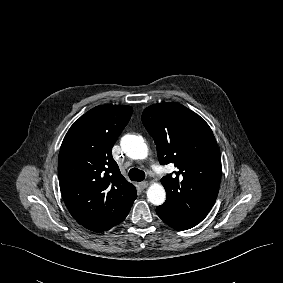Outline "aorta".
Returning a JSON list of instances; mask_svg holds the SVG:
<instances>
[{"label": "aorta", "mask_w": 283, "mask_h": 283, "mask_svg": "<svg viewBox=\"0 0 283 283\" xmlns=\"http://www.w3.org/2000/svg\"><path fill=\"white\" fill-rule=\"evenodd\" d=\"M121 147L124 153L135 160H142L148 156V147L141 136L127 134L121 139ZM148 200L158 206L164 203L166 192L159 183H153L147 191Z\"/></svg>", "instance_id": "obj_1"}]
</instances>
